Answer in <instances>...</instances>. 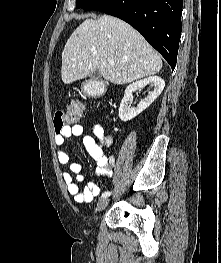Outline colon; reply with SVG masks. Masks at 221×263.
I'll return each mask as SVG.
<instances>
[{"mask_svg": "<svg viewBox=\"0 0 221 263\" xmlns=\"http://www.w3.org/2000/svg\"><path fill=\"white\" fill-rule=\"evenodd\" d=\"M85 106L79 100H74L67 111H57L54 115V129L56 134L62 131L70 124L76 122L84 113Z\"/></svg>", "mask_w": 221, "mask_h": 263, "instance_id": "obj_1", "label": "colon"}]
</instances>
